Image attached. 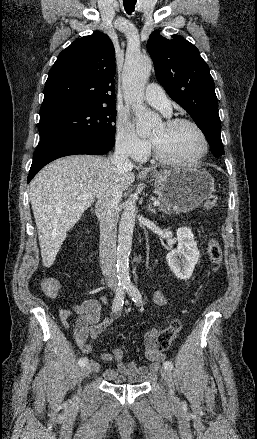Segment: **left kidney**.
<instances>
[{
  "instance_id": "obj_1",
  "label": "left kidney",
  "mask_w": 257,
  "mask_h": 439,
  "mask_svg": "<svg viewBox=\"0 0 257 439\" xmlns=\"http://www.w3.org/2000/svg\"><path fill=\"white\" fill-rule=\"evenodd\" d=\"M177 241V248L167 254L166 260L177 278L187 280L192 276L200 258V252L190 228H178Z\"/></svg>"
}]
</instances>
